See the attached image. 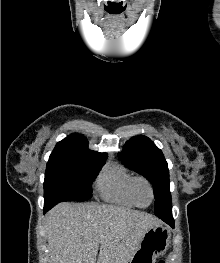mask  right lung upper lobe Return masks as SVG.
<instances>
[{"label":"right lung upper lobe","instance_id":"1","mask_svg":"<svg viewBox=\"0 0 220 263\" xmlns=\"http://www.w3.org/2000/svg\"><path fill=\"white\" fill-rule=\"evenodd\" d=\"M53 152H82L100 156H107L106 153H98L88 149L86 138L80 134H71L67 138L58 142Z\"/></svg>","mask_w":220,"mask_h":263}]
</instances>
